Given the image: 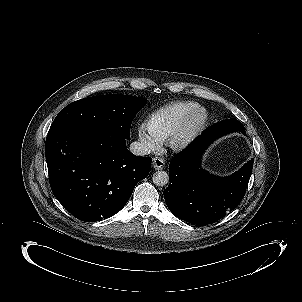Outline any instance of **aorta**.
Listing matches in <instances>:
<instances>
[{
	"label": "aorta",
	"mask_w": 302,
	"mask_h": 302,
	"mask_svg": "<svg viewBox=\"0 0 302 302\" xmlns=\"http://www.w3.org/2000/svg\"><path fill=\"white\" fill-rule=\"evenodd\" d=\"M152 181L156 186H166L169 183V175L165 171H156L153 174Z\"/></svg>",
	"instance_id": "762f6f07"
}]
</instances>
